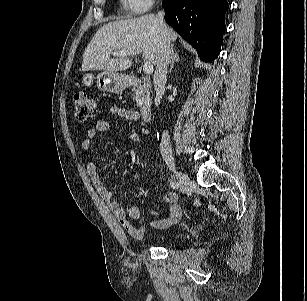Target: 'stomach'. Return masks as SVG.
<instances>
[{
    "mask_svg": "<svg viewBox=\"0 0 307 301\" xmlns=\"http://www.w3.org/2000/svg\"><path fill=\"white\" fill-rule=\"evenodd\" d=\"M94 82L101 91L119 93L126 88L127 77L116 72L102 71L97 76L85 73L81 80L85 87H90Z\"/></svg>",
    "mask_w": 307,
    "mask_h": 301,
    "instance_id": "stomach-1",
    "label": "stomach"
}]
</instances>
